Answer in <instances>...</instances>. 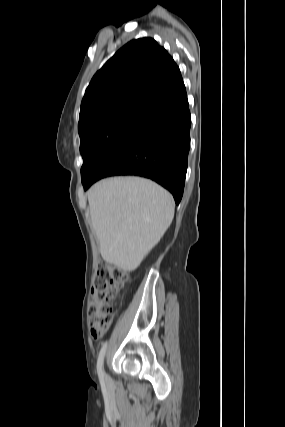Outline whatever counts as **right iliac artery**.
<instances>
[{
  "instance_id": "right-iliac-artery-1",
  "label": "right iliac artery",
  "mask_w": 285,
  "mask_h": 427,
  "mask_svg": "<svg viewBox=\"0 0 285 427\" xmlns=\"http://www.w3.org/2000/svg\"><path fill=\"white\" fill-rule=\"evenodd\" d=\"M106 347H107V342L104 343V345L102 346L98 356V360H97V373L102 383L104 382L103 360L106 352Z\"/></svg>"
}]
</instances>
